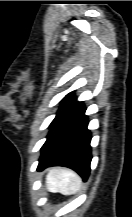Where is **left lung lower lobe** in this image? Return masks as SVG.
I'll return each instance as SVG.
<instances>
[{"label":"left lung lower lobe","mask_w":132,"mask_h":217,"mask_svg":"<svg viewBox=\"0 0 132 217\" xmlns=\"http://www.w3.org/2000/svg\"><path fill=\"white\" fill-rule=\"evenodd\" d=\"M83 102L73 101L51 123L47 140L41 148L38 170L65 166L75 170L84 181L90 172L91 134Z\"/></svg>","instance_id":"left-lung-lower-lobe-1"}]
</instances>
